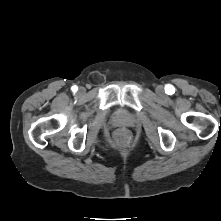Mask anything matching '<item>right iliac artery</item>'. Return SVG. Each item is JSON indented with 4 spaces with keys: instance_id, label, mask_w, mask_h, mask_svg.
I'll return each mask as SVG.
<instances>
[{
    "instance_id": "obj_1",
    "label": "right iliac artery",
    "mask_w": 221,
    "mask_h": 221,
    "mask_svg": "<svg viewBox=\"0 0 221 221\" xmlns=\"http://www.w3.org/2000/svg\"><path fill=\"white\" fill-rule=\"evenodd\" d=\"M71 89H72L73 92H76L78 90V87L77 86H73Z\"/></svg>"
}]
</instances>
